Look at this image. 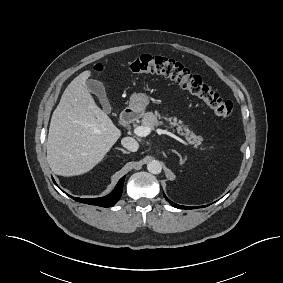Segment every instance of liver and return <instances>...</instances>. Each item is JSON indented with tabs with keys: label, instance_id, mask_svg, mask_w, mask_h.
I'll list each match as a JSON object with an SVG mask.
<instances>
[{
	"label": "liver",
	"instance_id": "6515ba94",
	"mask_svg": "<svg viewBox=\"0 0 283 283\" xmlns=\"http://www.w3.org/2000/svg\"><path fill=\"white\" fill-rule=\"evenodd\" d=\"M86 70L67 86L54 110L47 139L51 170L64 177L81 175L95 167L121 136V131L95 103Z\"/></svg>",
	"mask_w": 283,
	"mask_h": 283
}]
</instances>
